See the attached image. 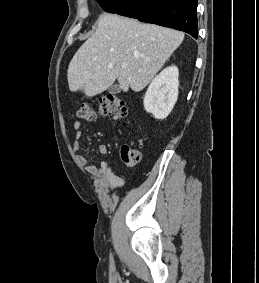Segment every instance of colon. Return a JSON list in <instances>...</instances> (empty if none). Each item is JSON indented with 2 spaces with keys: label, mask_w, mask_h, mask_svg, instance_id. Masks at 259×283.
<instances>
[{
  "label": "colon",
  "mask_w": 259,
  "mask_h": 283,
  "mask_svg": "<svg viewBox=\"0 0 259 283\" xmlns=\"http://www.w3.org/2000/svg\"><path fill=\"white\" fill-rule=\"evenodd\" d=\"M128 106L126 103L115 95H107L99 99L98 110L89 103L80 105L77 116L80 119L91 121L100 116H113L117 122H122L128 117ZM141 158L140 147L123 145L121 148V159L126 166H133Z\"/></svg>",
  "instance_id": "obj_1"
}]
</instances>
